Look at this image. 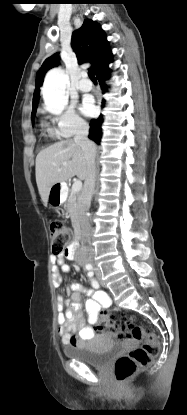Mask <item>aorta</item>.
Segmentation results:
<instances>
[{"mask_svg": "<svg viewBox=\"0 0 187 415\" xmlns=\"http://www.w3.org/2000/svg\"><path fill=\"white\" fill-rule=\"evenodd\" d=\"M69 77L61 68H53L45 76L42 95L45 108L54 115H60L68 105L65 92Z\"/></svg>", "mask_w": 187, "mask_h": 415, "instance_id": "aorta-1", "label": "aorta"}]
</instances>
